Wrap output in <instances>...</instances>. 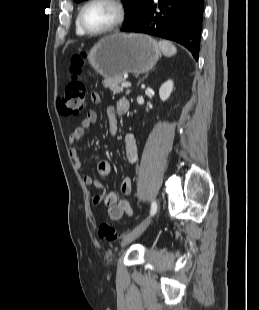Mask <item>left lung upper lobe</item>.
<instances>
[{
	"instance_id": "left-lung-upper-lobe-1",
	"label": "left lung upper lobe",
	"mask_w": 259,
	"mask_h": 310,
	"mask_svg": "<svg viewBox=\"0 0 259 310\" xmlns=\"http://www.w3.org/2000/svg\"><path fill=\"white\" fill-rule=\"evenodd\" d=\"M75 2H81L84 0H74ZM149 0H122L126 8V20L124 24H128L138 18Z\"/></svg>"
}]
</instances>
